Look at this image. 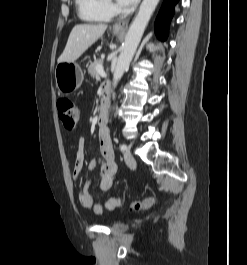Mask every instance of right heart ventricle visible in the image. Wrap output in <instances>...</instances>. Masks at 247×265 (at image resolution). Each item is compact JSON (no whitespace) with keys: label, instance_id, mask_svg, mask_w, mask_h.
I'll return each mask as SVG.
<instances>
[{"label":"right heart ventricle","instance_id":"right-heart-ventricle-1","mask_svg":"<svg viewBox=\"0 0 247 265\" xmlns=\"http://www.w3.org/2000/svg\"><path fill=\"white\" fill-rule=\"evenodd\" d=\"M79 16L89 22H107L112 14L107 8V0H76Z\"/></svg>","mask_w":247,"mask_h":265}]
</instances>
